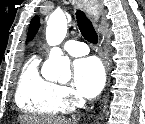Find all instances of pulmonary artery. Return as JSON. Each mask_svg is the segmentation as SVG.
Here are the masks:
<instances>
[{
	"instance_id": "pulmonary-artery-1",
	"label": "pulmonary artery",
	"mask_w": 145,
	"mask_h": 124,
	"mask_svg": "<svg viewBox=\"0 0 145 124\" xmlns=\"http://www.w3.org/2000/svg\"><path fill=\"white\" fill-rule=\"evenodd\" d=\"M63 50L69 55L75 57L84 56L89 52V49L85 43L74 40L65 42L63 45Z\"/></svg>"
}]
</instances>
